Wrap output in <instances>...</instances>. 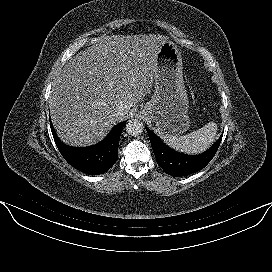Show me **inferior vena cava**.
<instances>
[{
    "instance_id": "inferior-vena-cava-1",
    "label": "inferior vena cava",
    "mask_w": 272,
    "mask_h": 272,
    "mask_svg": "<svg viewBox=\"0 0 272 272\" xmlns=\"http://www.w3.org/2000/svg\"><path fill=\"white\" fill-rule=\"evenodd\" d=\"M115 109H116V112L121 115L128 111V106L120 103V104H117Z\"/></svg>"
}]
</instances>
